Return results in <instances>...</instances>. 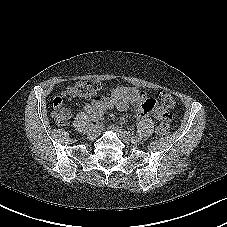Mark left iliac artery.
I'll return each mask as SVG.
<instances>
[{
  "mask_svg": "<svg viewBox=\"0 0 227 227\" xmlns=\"http://www.w3.org/2000/svg\"><path fill=\"white\" fill-rule=\"evenodd\" d=\"M137 140L143 141L144 137L142 135H137Z\"/></svg>",
  "mask_w": 227,
  "mask_h": 227,
  "instance_id": "obj_1",
  "label": "left iliac artery"
}]
</instances>
